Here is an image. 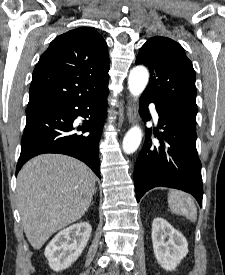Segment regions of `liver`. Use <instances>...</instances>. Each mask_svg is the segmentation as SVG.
I'll list each match as a JSON object with an SVG mask.
<instances>
[{
	"mask_svg": "<svg viewBox=\"0 0 225 275\" xmlns=\"http://www.w3.org/2000/svg\"><path fill=\"white\" fill-rule=\"evenodd\" d=\"M95 182L87 165L61 154L39 155L22 167L17 201L25 235L34 249L85 214Z\"/></svg>",
	"mask_w": 225,
	"mask_h": 275,
	"instance_id": "obj_1",
	"label": "liver"
}]
</instances>
